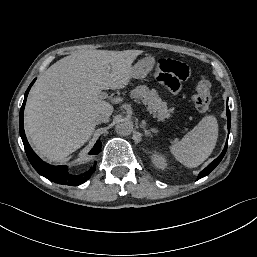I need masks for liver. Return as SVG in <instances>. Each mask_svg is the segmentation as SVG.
Masks as SVG:
<instances>
[{
	"label": "liver",
	"mask_w": 257,
	"mask_h": 257,
	"mask_svg": "<svg viewBox=\"0 0 257 257\" xmlns=\"http://www.w3.org/2000/svg\"><path fill=\"white\" fill-rule=\"evenodd\" d=\"M142 50H88L66 56L37 80L27 99L26 134L36 151L61 161L91 137L99 114L113 113L102 90L123 89Z\"/></svg>",
	"instance_id": "obj_1"
}]
</instances>
